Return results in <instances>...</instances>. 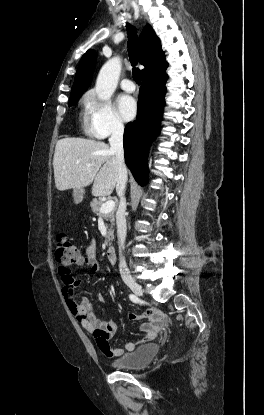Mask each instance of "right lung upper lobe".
Segmentation results:
<instances>
[{
  "mask_svg": "<svg viewBox=\"0 0 264 415\" xmlns=\"http://www.w3.org/2000/svg\"><path fill=\"white\" fill-rule=\"evenodd\" d=\"M139 55L140 63L145 66L141 71L142 79L165 73L168 63L165 60L160 39L149 24L146 25L139 38ZM95 64L96 54L93 50H88L82 56L76 71L74 84L71 89V97L82 95L88 88L95 69Z\"/></svg>",
  "mask_w": 264,
  "mask_h": 415,
  "instance_id": "right-lung-upper-lobe-1",
  "label": "right lung upper lobe"
}]
</instances>
